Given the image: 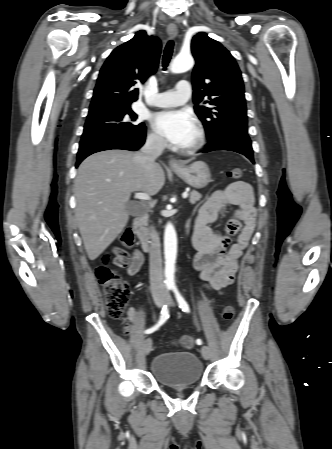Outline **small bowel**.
Masks as SVG:
<instances>
[{
  "mask_svg": "<svg viewBox=\"0 0 332 449\" xmlns=\"http://www.w3.org/2000/svg\"><path fill=\"white\" fill-rule=\"evenodd\" d=\"M253 203L251 188L244 182H235L216 191L194 218L193 245L197 251L194 265L207 288L222 291L234 282L239 259L254 231L256 211ZM228 205L236 206L232 218L226 223L228 234L238 233L232 244L212 228V224L226 213ZM124 255L128 262L121 267H126L128 275H136L143 264L142 254L134 250L131 254L124 251ZM131 317L136 320L135 313H131Z\"/></svg>",
  "mask_w": 332,
  "mask_h": 449,
  "instance_id": "c3829d8e",
  "label": "small bowel"
}]
</instances>
